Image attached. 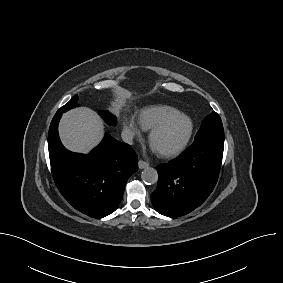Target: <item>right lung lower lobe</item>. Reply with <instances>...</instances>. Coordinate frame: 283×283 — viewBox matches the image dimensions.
Returning <instances> with one entry per match:
<instances>
[{
	"label": "right lung lower lobe",
	"mask_w": 283,
	"mask_h": 283,
	"mask_svg": "<svg viewBox=\"0 0 283 283\" xmlns=\"http://www.w3.org/2000/svg\"><path fill=\"white\" fill-rule=\"evenodd\" d=\"M61 116L55 114L48 133L55 184L78 211L93 218L105 217L116 210L127 179L137 171V156L128 144L108 134L88 155L68 151L58 135Z\"/></svg>",
	"instance_id": "1"
}]
</instances>
